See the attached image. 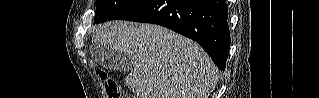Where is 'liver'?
<instances>
[{"label": "liver", "mask_w": 319, "mask_h": 98, "mask_svg": "<svg viewBox=\"0 0 319 98\" xmlns=\"http://www.w3.org/2000/svg\"><path fill=\"white\" fill-rule=\"evenodd\" d=\"M96 46L131 58L125 83L137 98H209L219 78L196 42L158 25L105 23L93 35Z\"/></svg>", "instance_id": "liver-1"}]
</instances>
